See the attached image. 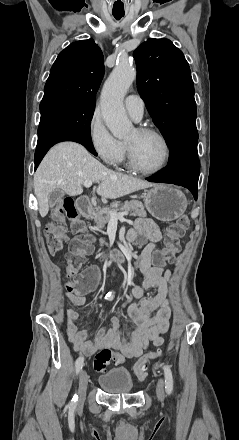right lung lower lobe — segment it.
<instances>
[{
	"mask_svg": "<svg viewBox=\"0 0 239 440\" xmlns=\"http://www.w3.org/2000/svg\"><path fill=\"white\" fill-rule=\"evenodd\" d=\"M61 141H75L86 147L92 154L97 155L90 134L78 130L58 129L46 132L38 136L37 148L35 151V170L47 151L56 143Z\"/></svg>",
	"mask_w": 239,
	"mask_h": 440,
	"instance_id": "obj_1",
	"label": "right lung lower lobe"
}]
</instances>
